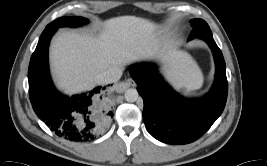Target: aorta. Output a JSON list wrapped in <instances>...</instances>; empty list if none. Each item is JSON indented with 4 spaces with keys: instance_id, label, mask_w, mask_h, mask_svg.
Instances as JSON below:
<instances>
[{
    "instance_id": "1",
    "label": "aorta",
    "mask_w": 267,
    "mask_h": 166,
    "mask_svg": "<svg viewBox=\"0 0 267 166\" xmlns=\"http://www.w3.org/2000/svg\"><path fill=\"white\" fill-rule=\"evenodd\" d=\"M124 96L127 102H135L139 98V93L136 89L130 88L126 90Z\"/></svg>"
}]
</instances>
